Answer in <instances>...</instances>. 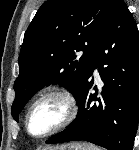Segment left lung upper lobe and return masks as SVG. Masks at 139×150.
<instances>
[{
    "instance_id": "5c2ea615",
    "label": "left lung upper lobe",
    "mask_w": 139,
    "mask_h": 150,
    "mask_svg": "<svg viewBox=\"0 0 139 150\" xmlns=\"http://www.w3.org/2000/svg\"><path fill=\"white\" fill-rule=\"evenodd\" d=\"M116 0H47L24 35L12 116L39 90L59 83L80 92ZM80 52H83L81 54Z\"/></svg>"
}]
</instances>
